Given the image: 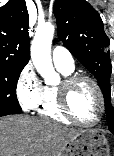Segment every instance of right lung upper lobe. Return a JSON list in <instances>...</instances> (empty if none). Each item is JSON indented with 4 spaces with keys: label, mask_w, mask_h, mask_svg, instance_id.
<instances>
[{
    "label": "right lung upper lobe",
    "mask_w": 114,
    "mask_h": 156,
    "mask_svg": "<svg viewBox=\"0 0 114 156\" xmlns=\"http://www.w3.org/2000/svg\"><path fill=\"white\" fill-rule=\"evenodd\" d=\"M29 18L25 0L0 8V62L24 67L30 59Z\"/></svg>",
    "instance_id": "cb5924a9"
}]
</instances>
